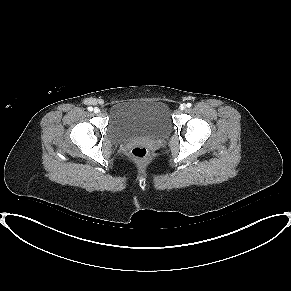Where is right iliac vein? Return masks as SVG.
I'll use <instances>...</instances> for the list:
<instances>
[{"instance_id":"obj_1","label":"right iliac vein","mask_w":291,"mask_h":291,"mask_svg":"<svg viewBox=\"0 0 291 291\" xmlns=\"http://www.w3.org/2000/svg\"><path fill=\"white\" fill-rule=\"evenodd\" d=\"M94 113H96V114H98V113H100V109L99 108H94Z\"/></svg>"}]
</instances>
